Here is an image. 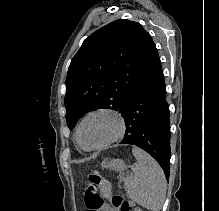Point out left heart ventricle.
Here are the masks:
<instances>
[{
  "label": "left heart ventricle",
  "mask_w": 219,
  "mask_h": 211,
  "mask_svg": "<svg viewBox=\"0 0 219 211\" xmlns=\"http://www.w3.org/2000/svg\"><path fill=\"white\" fill-rule=\"evenodd\" d=\"M116 119L108 114L89 117L81 128V142L87 147H94L109 139L116 131Z\"/></svg>",
  "instance_id": "1"
}]
</instances>
